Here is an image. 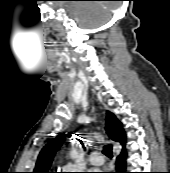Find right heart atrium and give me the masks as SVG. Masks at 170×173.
<instances>
[{"mask_svg": "<svg viewBox=\"0 0 170 173\" xmlns=\"http://www.w3.org/2000/svg\"><path fill=\"white\" fill-rule=\"evenodd\" d=\"M62 169H64V172L63 173H72V171H70V170L73 169V167H71V166H65V167H62Z\"/></svg>", "mask_w": 170, "mask_h": 173, "instance_id": "obj_1", "label": "right heart atrium"}]
</instances>
